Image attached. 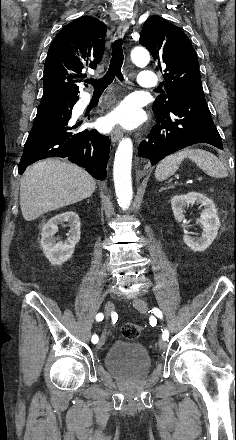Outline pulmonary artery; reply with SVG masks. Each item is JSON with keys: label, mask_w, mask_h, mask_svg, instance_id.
Here are the masks:
<instances>
[{"label": "pulmonary artery", "mask_w": 236, "mask_h": 440, "mask_svg": "<svg viewBox=\"0 0 236 440\" xmlns=\"http://www.w3.org/2000/svg\"><path fill=\"white\" fill-rule=\"evenodd\" d=\"M157 85V76L151 72L144 70L140 73L137 81V87L141 89H152ZM89 97H86L88 100Z\"/></svg>", "instance_id": "e3ab8cb5"}]
</instances>
